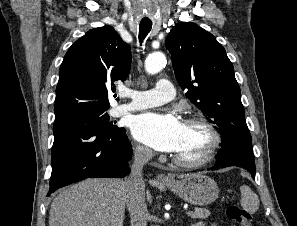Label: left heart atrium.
I'll use <instances>...</instances> for the list:
<instances>
[{
    "mask_svg": "<svg viewBox=\"0 0 297 226\" xmlns=\"http://www.w3.org/2000/svg\"><path fill=\"white\" fill-rule=\"evenodd\" d=\"M183 123L173 114L143 113L133 118L131 130L140 142L162 152H176L182 141Z\"/></svg>",
    "mask_w": 297,
    "mask_h": 226,
    "instance_id": "39dd6f15",
    "label": "left heart atrium"
}]
</instances>
